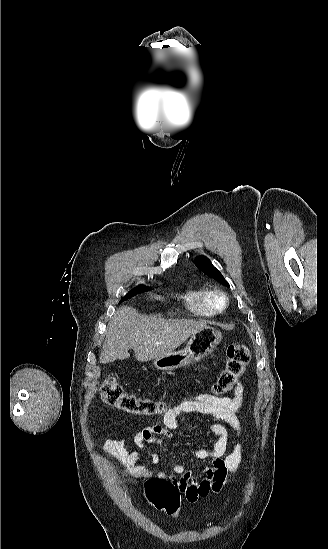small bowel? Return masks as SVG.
<instances>
[{
	"instance_id": "small-bowel-1",
	"label": "small bowel",
	"mask_w": 328,
	"mask_h": 549,
	"mask_svg": "<svg viewBox=\"0 0 328 549\" xmlns=\"http://www.w3.org/2000/svg\"><path fill=\"white\" fill-rule=\"evenodd\" d=\"M243 395L244 386L238 382L232 397H216L211 394L184 397L167 410L159 421L132 433L133 441L139 451H129L124 441L117 438L106 439L102 451L120 468L123 475L129 478L155 475L156 478L168 479L179 487L188 502L194 503L199 498L219 493L241 463L240 442H236L229 453L227 450L230 430L237 438L242 435L241 422L237 413L242 407ZM183 413H199L218 420L209 425V431L217 437L212 448L177 453L179 459L192 456L196 459L209 460V467L200 475H195L192 468L179 463L173 464L170 475L152 468L160 460L155 447H160L166 452L165 440L172 438L174 430L182 427H196L194 423L183 425L178 421V416ZM141 461L144 464L138 465Z\"/></svg>"
}]
</instances>
